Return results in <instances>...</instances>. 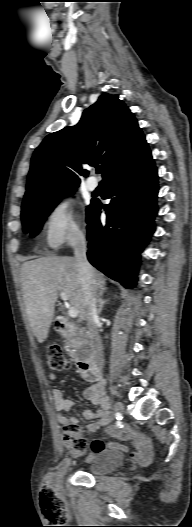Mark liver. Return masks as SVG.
<instances>
[{"instance_id": "obj_1", "label": "liver", "mask_w": 192, "mask_h": 527, "mask_svg": "<svg viewBox=\"0 0 192 527\" xmlns=\"http://www.w3.org/2000/svg\"><path fill=\"white\" fill-rule=\"evenodd\" d=\"M96 291L104 292L105 278L93 269ZM21 284L26 314L39 343L47 338L54 317L58 293L67 295L77 309L80 321L87 319L77 262L68 256H46L26 261L21 266Z\"/></svg>"}]
</instances>
